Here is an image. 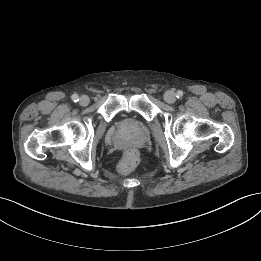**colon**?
I'll return each mask as SVG.
<instances>
[{
	"instance_id": "5ec220e1",
	"label": "colon",
	"mask_w": 261,
	"mask_h": 261,
	"mask_svg": "<svg viewBox=\"0 0 261 261\" xmlns=\"http://www.w3.org/2000/svg\"><path fill=\"white\" fill-rule=\"evenodd\" d=\"M137 158L138 152L136 149L130 148L126 150L123 160L119 166L120 172L123 174L128 173L136 163Z\"/></svg>"
}]
</instances>
